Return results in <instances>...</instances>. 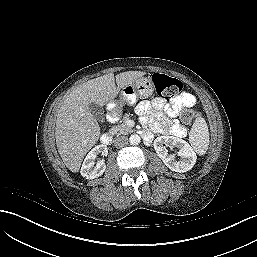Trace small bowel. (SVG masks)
Here are the masks:
<instances>
[{
  "mask_svg": "<svg viewBox=\"0 0 257 257\" xmlns=\"http://www.w3.org/2000/svg\"><path fill=\"white\" fill-rule=\"evenodd\" d=\"M196 103L194 95L184 92L173 98L169 103L161 98H156L152 102L142 101L137 105V112L142 116L143 123L156 133H170L175 136H184L185 128L170 120L175 117L183 107H191ZM146 132V141L152 138V132Z\"/></svg>",
  "mask_w": 257,
  "mask_h": 257,
  "instance_id": "c3829d8e",
  "label": "small bowel"
}]
</instances>
